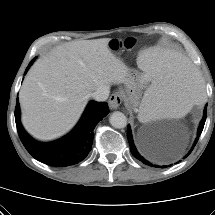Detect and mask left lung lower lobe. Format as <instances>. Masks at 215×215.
<instances>
[{"mask_svg":"<svg viewBox=\"0 0 215 215\" xmlns=\"http://www.w3.org/2000/svg\"><path fill=\"white\" fill-rule=\"evenodd\" d=\"M206 116H207V106L205 107L204 109V115H203V118L200 122V125L198 127V132H197V137L195 139V142L191 148V150L188 152V154L185 156V158L191 153V151L193 150L194 146L196 145L198 139H199V136L204 128V124H205V120H206ZM127 137H128V141H129V145H130V150H131V153L133 154V156L140 160L141 162H143L144 164L146 165H149L151 167H160V166H157L155 164H152L150 161H148L147 159H145L139 152L138 150L136 149L135 145H134V141H133V137H132V132H131V129H130V125H128V129H127ZM171 166V165H169ZM167 166H161V168H165Z\"/></svg>","mask_w":215,"mask_h":215,"instance_id":"0a47b994","label":"left lung lower lobe"}]
</instances>
